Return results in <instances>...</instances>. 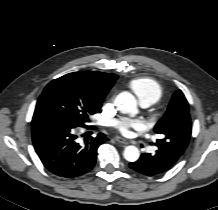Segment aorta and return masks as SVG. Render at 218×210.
<instances>
[{"label":"aorta","mask_w":218,"mask_h":210,"mask_svg":"<svg viewBox=\"0 0 218 210\" xmlns=\"http://www.w3.org/2000/svg\"><path fill=\"white\" fill-rule=\"evenodd\" d=\"M115 105L122 113L134 115L137 113V102L135 97L128 93L122 92L115 99ZM140 153L137 147L127 146L124 150V158L129 162H135L139 159Z\"/></svg>","instance_id":"aorta-1"}]
</instances>
